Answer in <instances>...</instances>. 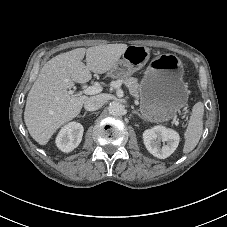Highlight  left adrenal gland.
I'll list each match as a JSON object with an SVG mask.
<instances>
[{
  "instance_id": "obj_1",
  "label": "left adrenal gland",
  "mask_w": 227,
  "mask_h": 227,
  "mask_svg": "<svg viewBox=\"0 0 227 227\" xmlns=\"http://www.w3.org/2000/svg\"><path fill=\"white\" fill-rule=\"evenodd\" d=\"M132 113L138 115L139 117H141V115L139 114V112L136 111V110H133Z\"/></svg>"
}]
</instances>
